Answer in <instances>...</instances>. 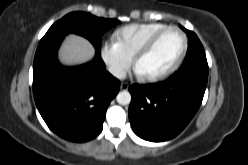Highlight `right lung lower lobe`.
<instances>
[{"mask_svg": "<svg viewBox=\"0 0 248 165\" xmlns=\"http://www.w3.org/2000/svg\"><path fill=\"white\" fill-rule=\"evenodd\" d=\"M63 37L39 44L33 63V94L48 127L60 137L85 142L103 129L106 110L117 95L120 81L95 58L82 66L67 68L57 61Z\"/></svg>", "mask_w": 248, "mask_h": 165, "instance_id": "right-lung-lower-lobe-1", "label": "right lung lower lobe"}]
</instances>
